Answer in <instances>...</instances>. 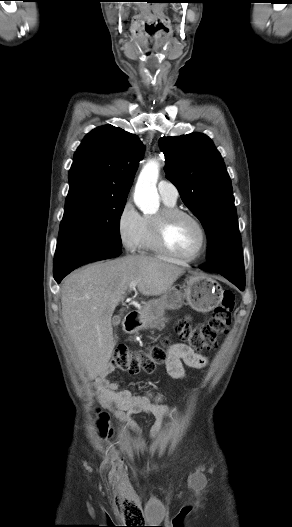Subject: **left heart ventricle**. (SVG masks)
Returning <instances> with one entry per match:
<instances>
[{"mask_svg": "<svg viewBox=\"0 0 292 527\" xmlns=\"http://www.w3.org/2000/svg\"><path fill=\"white\" fill-rule=\"evenodd\" d=\"M167 242L177 254L192 256L200 247L201 233L193 220L180 216L170 223L167 230Z\"/></svg>", "mask_w": 292, "mask_h": 527, "instance_id": "obj_1", "label": "left heart ventricle"}]
</instances>
